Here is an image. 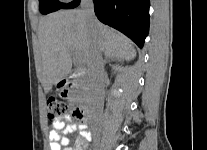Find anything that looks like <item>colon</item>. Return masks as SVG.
Returning <instances> with one entry per match:
<instances>
[{"instance_id": "obj_1", "label": "colon", "mask_w": 207, "mask_h": 150, "mask_svg": "<svg viewBox=\"0 0 207 150\" xmlns=\"http://www.w3.org/2000/svg\"><path fill=\"white\" fill-rule=\"evenodd\" d=\"M68 110V106L64 101H61L55 97H50L47 100V116L50 121L58 120L62 118ZM77 118H82V114L79 110L75 112Z\"/></svg>"}]
</instances>
